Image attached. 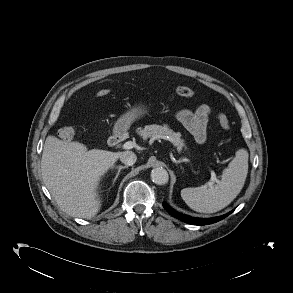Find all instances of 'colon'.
<instances>
[{
	"mask_svg": "<svg viewBox=\"0 0 293 293\" xmlns=\"http://www.w3.org/2000/svg\"><path fill=\"white\" fill-rule=\"evenodd\" d=\"M176 94L181 97H192L194 95V91L185 86H179L175 90ZM110 93L108 89H101L98 91L97 95L99 97L106 96ZM218 122L222 129L229 130L230 129V121L227 115L223 112H219L217 115ZM58 135L63 140H70L75 135V129L71 126H63L58 129Z\"/></svg>",
	"mask_w": 293,
	"mask_h": 293,
	"instance_id": "obj_1",
	"label": "colon"
}]
</instances>
